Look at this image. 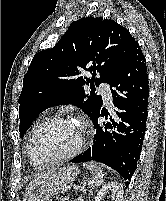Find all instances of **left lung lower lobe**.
<instances>
[{"instance_id": "1", "label": "left lung lower lobe", "mask_w": 166, "mask_h": 201, "mask_svg": "<svg viewBox=\"0 0 166 201\" xmlns=\"http://www.w3.org/2000/svg\"><path fill=\"white\" fill-rule=\"evenodd\" d=\"M109 84L115 87L111 92L116 117L108 118V113L100 109L92 119L96 130L92 147L71 162L104 163L124 177L128 186L137 168L148 116V74L139 44ZM100 115L106 118L105 126L98 123Z\"/></svg>"}]
</instances>
